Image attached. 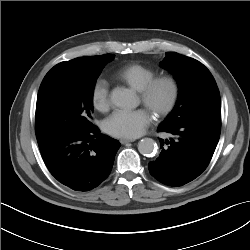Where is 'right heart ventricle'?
<instances>
[{"label": "right heart ventricle", "instance_id": "right-heart-ventricle-1", "mask_svg": "<svg viewBox=\"0 0 250 250\" xmlns=\"http://www.w3.org/2000/svg\"><path fill=\"white\" fill-rule=\"evenodd\" d=\"M156 74V71L151 67L140 63H131L118 69L115 78L138 91Z\"/></svg>", "mask_w": 250, "mask_h": 250}]
</instances>
